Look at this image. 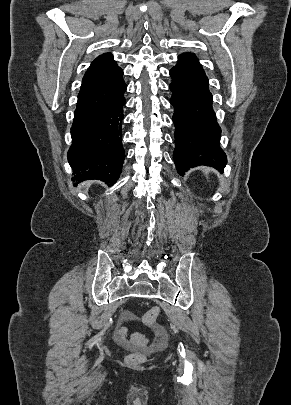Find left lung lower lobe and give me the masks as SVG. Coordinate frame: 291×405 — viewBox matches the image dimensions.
<instances>
[{
  "label": "left lung lower lobe",
  "mask_w": 291,
  "mask_h": 405,
  "mask_svg": "<svg viewBox=\"0 0 291 405\" xmlns=\"http://www.w3.org/2000/svg\"><path fill=\"white\" fill-rule=\"evenodd\" d=\"M173 92L170 99L175 107V150L177 172L184 175L190 168L206 165L221 170L227 163L219 146L221 129L212 108L208 78L194 54L179 55L170 70Z\"/></svg>",
  "instance_id": "left-lung-lower-lobe-1"
}]
</instances>
